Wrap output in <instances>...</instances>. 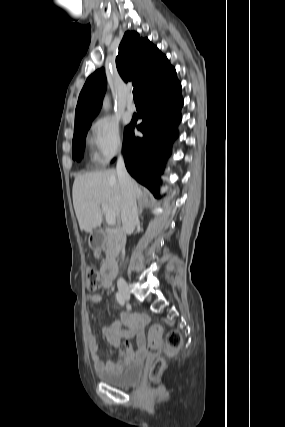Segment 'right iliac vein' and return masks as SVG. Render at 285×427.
Returning a JSON list of instances; mask_svg holds the SVG:
<instances>
[{
    "label": "right iliac vein",
    "instance_id": "1",
    "mask_svg": "<svg viewBox=\"0 0 285 427\" xmlns=\"http://www.w3.org/2000/svg\"><path fill=\"white\" fill-rule=\"evenodd\" d=\"M118 289H119V292H120L121 296L125 300H129L130 299L129 287H128V284L126 283L125 280H119L118 281Z\"/></svg>",
    "mask_w": 285,
    "mask_h": 427
}]
</instances>
